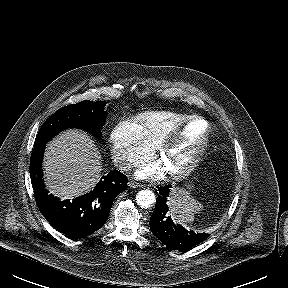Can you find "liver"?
I'll use <instances>...</instances> for the list:
<instances>
[{
    "instance_id": "obj_1",
    "label": "liver",
    "mask_w": 288,
    "mask_h": 288,
    "mask_svg": "<svg viewBox=\"0 0 288 288\" xmlns=\"http://www.w3.org/2000/svg\"><path fill=\"white\" fill-rule=\"evenodd\" d=\"M43 165L47 189L62 199L90 191L102 170L96 145L87 134L76 129L61 133L47 145Z\"/></svg>"
}]
</instances>
